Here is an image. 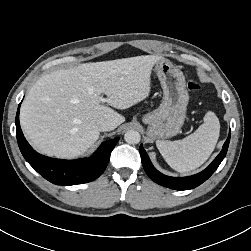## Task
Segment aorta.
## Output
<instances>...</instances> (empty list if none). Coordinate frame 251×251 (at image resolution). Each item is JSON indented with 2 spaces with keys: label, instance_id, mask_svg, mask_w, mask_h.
<instances>
[{
  "label": "aorta",
  "instance_id": "762f6f07",
  "mask_svg": "<svg viewBox=\"0 0 251 251\" xmlns=\"http://www.w3.org/2000/svg\"><path fill=\"white\" fill-rule=\"evenodd\" d=\"M124 139L128 144H137L140 142V133L136 130H129L125 133Z\"/></svg>",
  "mask_w": 251,
  "mask_h": 251
}]
</instances>
